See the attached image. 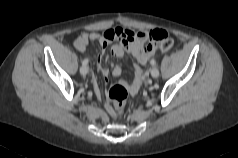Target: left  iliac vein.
I'll return each instance as SVG.
<instances>
[{
    "label": "left iliac vein",
    "instance_id": "obj_1",
    "mask_svg": "<svg viewBox=\"0 0 238 158\" xmlns=\"http://www.w3.org/2000/svg\"><path fill=\"white\" fill-rule=\"evenodd\" d=\"M150 73H151V76H152L153 78H157V77L159 76V70H158L157 67H153V68L151 69Z\"/></svg>",
    "mask_w": 238,
    "mask_h": 158
}]
</instances>
